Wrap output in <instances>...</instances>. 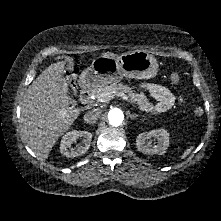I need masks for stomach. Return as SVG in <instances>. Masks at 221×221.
I'll return each instance as SVG.
<instances>
[{"label": "stomach", "instance_id": "obj_1", "mask_svg": "<svg viewBox=\"0 0 221 221\" xmlns=\"http://www.w3.org/2000/svg\"><path fill=\"white\" fill-rule=\"evenodd\" d=\"M158 73V63L146 51L134 50L120 56L101 55L95 58L79 79L83 88H97L130 79H151Z\"/></svg>", "mask_w": 221, "mask_h": 221}]
</instances>
